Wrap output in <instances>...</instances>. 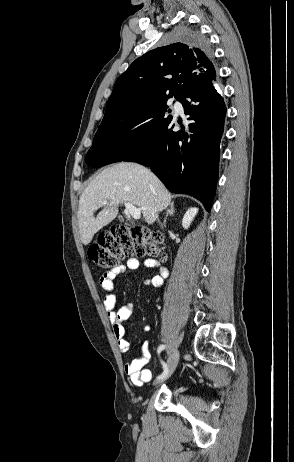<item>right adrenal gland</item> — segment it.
Returning a JSON list of instances; mask_svg holds the SVG:
<instances>
[{"label":"right adrenal gland","mask_w":294,"mask_h":462,"mask_svg":"<svg viewBox=\"0 0 294 462\" xmlns=\"http://www.w3.org/2000/svg\"><path fill=\"white\" fill-rule=\"evenodd\" d=\"M174 213H175L174 202H171L169 205V208L166 210V216L164 218V223H163L164 226H166L168 216H172L174 215Z\"/></svg>","instance_id":"obj_1"}]
</instances>
